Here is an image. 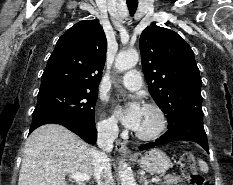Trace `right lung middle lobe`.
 I'll return each mask as SVG.
<instances>
[{"mask_svg":"<svg viewBox=\"0 0 233 185\" xmlns=\"http://www.w3.org/2000/svg\"><path fill=\"white\" fill-rule=\"evenodd\" d=\"M98 91L69 88L39 90L33 117L40 115L67 116L95 124L94 108Z\"/></svg>","mask_w":233,"mask_h":185,"instance_id":"right-lung-middle-lobe-1","label":"right lung middle lobe"}]
</instances>
